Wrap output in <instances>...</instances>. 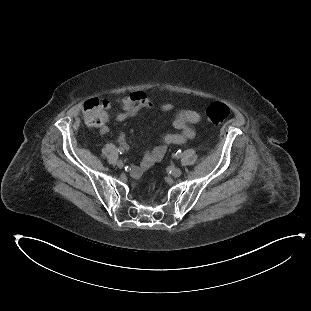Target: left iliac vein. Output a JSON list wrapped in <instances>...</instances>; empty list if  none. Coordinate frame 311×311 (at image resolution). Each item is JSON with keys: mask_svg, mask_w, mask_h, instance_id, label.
Returning a JSON list of instances; mask_svg holds the SVG:
<instances>
[{"mask_svg": "<svg viewBox=\"0 0 311 311\" xmlns=\"http://www.w3.org/2000/svg\"><path fill=\"white\" fill-rule=\"evenodd\" d=\"M181 174H182V171L179 168H174L173 171H172V175L174 177H179Z\"/></svg>", "mask_w": 311, "mask_h": 311, "instance_id": "obj_1", "label": "left iliac vein"}]
</instances>
